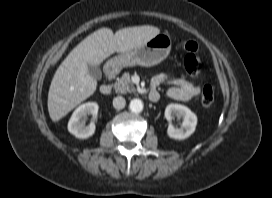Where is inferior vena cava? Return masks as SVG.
<instances>
[{"instance_id": "inferior-vena-cava-1", "label": "inferior vena cava", "mask_w": 272, "mask_h": 198, "mask_svg": "<svg viewBox=\"0 0 272 198\" xmlns=\"http://www.w3.org/2000/svg\"><path fill=\"white\" fill-rule=\"evenodd\" d=\"M126 105V100L122 96L115 97L113 99V106L115 109H123Z\"/></svg>"}]
</instances>
